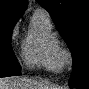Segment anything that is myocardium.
<instances>
[{
	"mask_svg": "<svg viewBox=\"0 0 89 89\" xmlns=\"http://www.w3.org/2000/svg\"><path fill=\"white\" fill-rule=\"evenodd\" d=\"M61 58H62L63 64L71 65L73 62L72 54L66 48H61Z\"/></svg>",
	"mask_w": 89,
	"mask_h": 89,
	"instance_id": "1",
	"label": "myocardium"
}]
</instances>
